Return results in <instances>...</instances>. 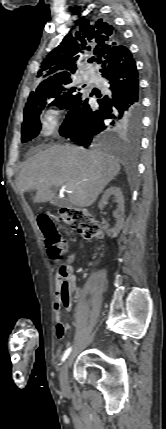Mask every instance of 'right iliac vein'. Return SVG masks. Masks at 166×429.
Instances as JSON below:
<instances>
[{
    "instance_id": "1",
    "label": "right iliac vein",
    "mask_w": 166,
    "mask_h": 429,
    "mask_svg": "<svg viewBox=\"0 0 166 429\" xmlns=\"http://www.w3.org/2000/svg\"><path fill=\"white\" fill-rule=\"evenodd\" d=\"M69 364H70V358H68L62 369H61V373H60V383H61V387L63 390H67L68 388V371H69Z\"/></svg>"
}]
</instances>
